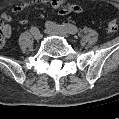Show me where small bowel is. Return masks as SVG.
<instances>
[{"label":"small bowel","mask_w":119,"mask_h":119,"mask_svg":"<svg viewBox=\"0 0 119 119\" xmlns=\"http://www.w3.org/2000/svg\"><path fill=\"white\" fill-rule=\"evenodd\" d=\"M50 4L56 8L59 9L60 13L62 14H70V13H80L82 11V8L77 4H70L64 0H51ZM29 6V3H21L13 8V12L18 14L24 11ZM2 19L4 22L9 23L12 21V16L4 13L2 14ZM21 24H26L27 20L23 19L20 21ZM5 27V36L9 37L11 35V28L8 24L4 25Z\"/></svg>","instance_id":"c3829d8e"}]
</instances>
